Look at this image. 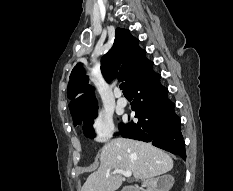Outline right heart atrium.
I'll return each mask as SVG.
<instances>
[{"label":"right heart atrium","instance_id":"d8ad5b80","mask_svg":"<svg viewBox=\"0 0 233 191\" xmlns=\"http://www.w3.org/2000/svg\"><path fill=\"white\" fill-rule=\"evenodd\" d=\"M112 118L104 113L97 114L90 123L91 138L98 143L107 142L113 135Z\"/></svg>","mask_w":233,"mask_h":191}]
</instances>
